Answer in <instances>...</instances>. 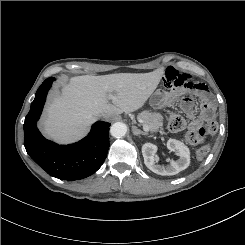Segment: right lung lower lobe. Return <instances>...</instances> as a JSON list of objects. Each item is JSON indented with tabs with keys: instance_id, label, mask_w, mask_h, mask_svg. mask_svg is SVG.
<instances>
[{
	"instance_id": "right-lung-lower-lobe-1",
	"label": "right lung lower lobe",
	"mask_w": 245,
	"mask_h": 245,
	"mask_svg": "<svg viewBox=\"0 0 245 245\" xmlns=\"http://www.w3.org/2000/svg\"><path fill=\"white\" fill-rule=\"evenodd\" d=\"M53 77L46 79L36 92L24 122V146L30 157L49 175L74 181L95 173L109 149L110 123L98 121L88 136L71 145H58L45 139L36 127Z\"/></svg>"
}]
</instances>
